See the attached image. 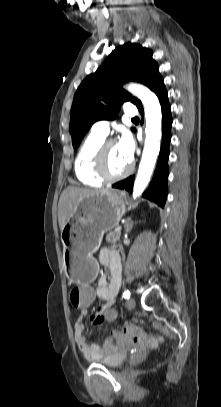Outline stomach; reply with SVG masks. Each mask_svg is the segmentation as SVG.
I'll use <instances>...</instances> for the list:
<instances>
[{
	"instance_id": "0dacf381",
	"label": "stomach",
	"mask_w": 221,
	"mask_h": 407,
	"mask_svg": "<svg viewBox=\"0 0 221 407\" xmlns=\"http://www.w3.org/2000/svg\"><path fill=\"white\" fill-rule=\"evenodd\" d=\"M126 211L120 192L106 189L82 198L61 231L63 267L72 283H90L98 272L93 257L103 235L118 226Z\"/></svg>"
}]
</instances>
